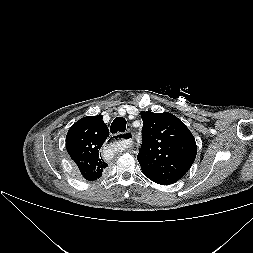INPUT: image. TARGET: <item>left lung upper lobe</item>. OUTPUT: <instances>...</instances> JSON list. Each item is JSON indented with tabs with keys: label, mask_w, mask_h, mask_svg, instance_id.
<instances>
[{
	"label": "left lung upper lobe",
	"mask_w": 253,
	"mask_h": 253,
	"mask_svg": "<svg viewBox=\"0 0 253 253\" xmlns=\"http://www.w3.org/2000/svg\"><path fill=\"white\" fill-rule=\"evenodd\" d=\"M142 145L137 156L142 172L152 181L169 185L193 164L197 146L187 126L169 112L141 113Z\"/></svg>",
	"instance_id": "5c2ea615"
}]
</instances>
